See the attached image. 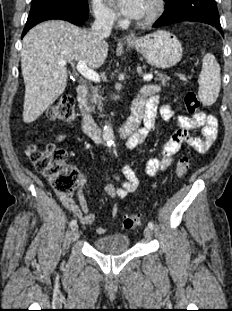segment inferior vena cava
<instances>
[{
	"label": "inferior vena cava",
	"instance_id": "inferior-vena-cava-1",
	"mask_svg": "<svg viewBox=\"0 0 232 311\" xmlns=\"http://www.w3.org/2000/svg\"><path fill=\"white\" fill-rule=\"evenodd\" d=\"M114 16L108 13H100L92 25V32L100 39H104L111 34L114 23Z\"/></svg>",
	"mask_w": 232,
	"mask_h": 311
}]
</instances>
